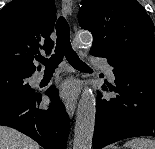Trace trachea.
I'll list each match as a JSON object with an SVG mask.
<instances>
[{
  "mask_svg": "<svg viewBox=\"0 0 155 149\" xmlns=\"http://www.w3.org/2000/svg\"><path fill=\"white\" fill-rule=\"evenodd\" d=\"M56 35L55 53L49 59L44 57L38 59V61L45 66V70H55L64 56L74 68L90 69L82 60H80L76 52L72 49L69 24L64 17H59L56 23Z\"/></svg>",
  "mask_w": 155,
  "mask_h": 149,
  "instance_id": "1",
  "label": "trachea"
}]
</instances>
